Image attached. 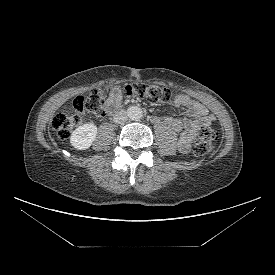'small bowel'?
<instances>
[{"label": "small bowel", "mask_w": 275, "mask_h": 275, "mask_svg": "<svg viewBox=\"0 0 275 275\" xmlns=\"http://www.w3.org/2000/svg\"><path fill=\"white\" fill-rule=\"evenodd\" d=\"M121 95L113 92L107 100L106 111L112 114L121 106ZM175 105H185L188 107L187 117L184 119H170L166 122L172 129L178 133V146L182 152H187L192 141L196 138L197 132L202 124H210L214 121V116L209 112L203 104L191 100L184 96H179L174 101Z\"/></svg>", "instance_id": "1"}]
</instances>
